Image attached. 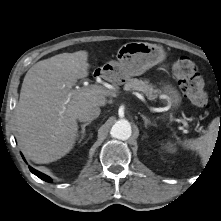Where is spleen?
Returning <instances> with one entry per match:
<instances>
[{
	"label": "spleen",
	"instance_id": "obj_1",
	"mask_svg": "<svg viewBox=\"0 0 221 221\" xmlns=\"http://www.w3.org/2000/svg\"><path fill=\"white\" fill-rule=\"evenodd\" d=\"M218 130V119H214L209 125V130L206 134L197 139L188 140L184 143V146L197 151L202 158V162L205 163L212 153Z\"/></svg>",
	"mask_w": 221,
	"mask_h": 221
}]
</instances>
